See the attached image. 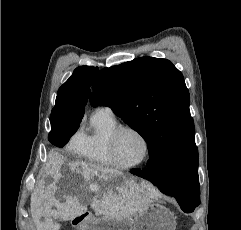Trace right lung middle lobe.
Listing matches in <instances>:
<instances>
[{
	"instance_id": "dd1d6c3e",
	"label": "right lung middle lobe",
	"mask_w": 241,
	"mask_h": 230,
	"mask_svg": "<svg viewBox=\"0 0 241 230\" xmlns=\"http://www.w3.org/2000/svg\"><path fill=\"white\" fill-rule=\"evenodd\" d=\"M79 125L80 123L69 121L51 122V132L49 133L48 139L53 145L63 147L77 131Z\"/></svg>"
}]
</instances>
